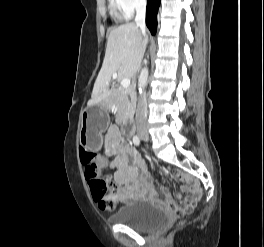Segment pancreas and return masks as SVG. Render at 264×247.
Instances as JSON below:
<instances>
[{"label":"pancreas","mask_w":264,"mask_h":247,"mask_svg":"<svg viewBox=\"0 0 264 247\" xmlns=\"http://www.w3.org/2000/svg\"><path fill=\"white\" fill-rule=\"evenodd\" d=\"M135 94L133 89H125L120 87L112 91L108 98L107 106L115 108L117 113V121L124 122L132 114L134 109Z\"/></svg>","instance_id":"obj_1"}]
</instances>
